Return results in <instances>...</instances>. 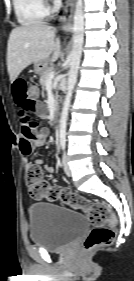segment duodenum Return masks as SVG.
I'll return each instance as SVG.
<instances>
[{
    "label": "duodenum",
    "instance_id": "1",
    "mask_svg": "<svg viewBox=\"0 0 134 281\" xmlns=\"http://www.w3.org/2000/svg\"><path fill=\"white\" fill-rule=\"evenodd\" d=\"M58 117H59V105H58V103H55L53 105V108H52V118H53V121L57 122Z\"/></svg>",
    "mask_w": 134,
    "mask_h": 281
}]
</instances>
